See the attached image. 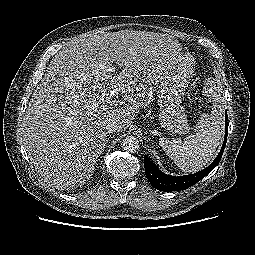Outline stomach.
Here are the masks:
<instances>
[{"label": "stomach", "mask_w": 255, "mask_h": 255, "mask_svg": "<svg viewBox=\"0 0 255 255\" xmlns=\"http://www.w3.org/2000/svg\"><path fill=\"white\" fill-rule=\"evenodd\" d=\"M194 65L189 54L181 53L159 81V122L173 133L184 134L189 130L187 116L181 105V96L194 73Z\"/></svg>", "instance_id": "0dacf381"}]
</instances>
